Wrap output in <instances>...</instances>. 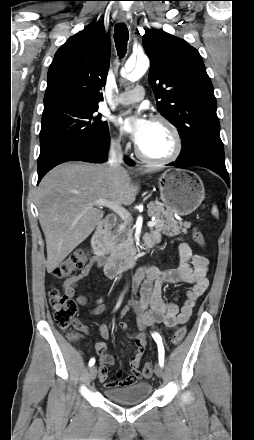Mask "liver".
<instances>
[{
    "mask_svg": "<svg viewBox=\"0 0 254 440\" xmlns=\"http://www.w3.org/2000/svg\"><path fill=\"white\" fill-rule=\"evenodd\" d=\"M152 169H146L145 173ZM139 191L125 168L108 164L63 163L52 169L37 189L39 222L45 235L47 272L59 264L95 229L104 211L90 203L104 199L131 205Z\"/></svg>",
    "mask_w": 254,
    "mask_h": 440,
    "instance_id": "liver-1",
    "label": "liver"
}]
</instances>
